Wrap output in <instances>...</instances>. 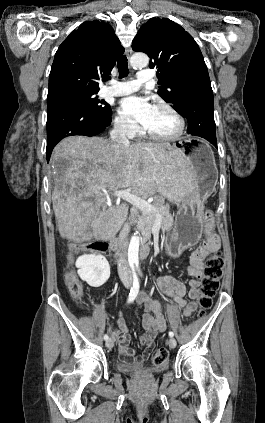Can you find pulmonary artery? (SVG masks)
I'll list each match as a JSON object with an SVG mask.
<instances>
[{"mask_svg":"<svg viewBox=\"0 0 265 423\" xmlns=\"http://www.w3.org/2000/svg\"><path fill=\"white\" fill-rule=\"evenodd\" d=\"M153 74L146 69L140 70L137 79L127 81H112L111 84L102 90L104 96H123L137 91L141 84L151 83Z\"/></svg>","mask_w":265,"mask_h":423,"instance_id":"e3ab8cb5","label":"pulmonary artery"}]
</instances>
